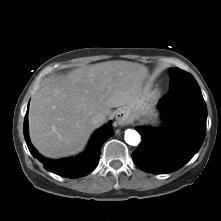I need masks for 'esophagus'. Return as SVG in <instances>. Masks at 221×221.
I'll return each instance as SVG.
<instances>
[{
  "label": "esophagus",
  "instance_id": "obj_1",
  "mask_svg": "<svg viewBox=\"0 0 221 221\" xmlns=\"http://www.w3.org/2000/svg\"><path fill=\"white\" fill-rule=\"evenodd\" d=\"M131 122L130 115L127 111L121 110L116 114V123L118 126H126Z\"/></svg>",
  "mask_w": 221,
  "mask_h": 221
}]
</instances>
